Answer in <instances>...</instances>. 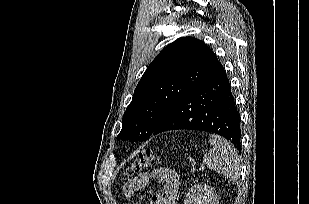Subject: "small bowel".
Listing matches in <instances>:
<instances>
[{"label":"small bowel","instance_id":"small-bowel-1","mask_svg":"<svg viewBox=\"0 0 309 204\" xmlns=\"http://www.w3.org/2000/svg\"><path fill=\"white\" fill-rule=\"evenodd\" d=\"M152 179L164 183V191L155 194L150 204H176L182 178L177 170L169 167H157L133 177L124 185L123 194L127 198L136 196Z\"/></svg>","mask_w":309,"mask_h":204}]
</instances>
